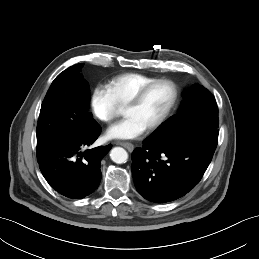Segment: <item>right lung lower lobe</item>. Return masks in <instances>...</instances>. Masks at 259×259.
<instances>
[{
	"mask_svg": "<svg viewBox=\"0 0 259 259\" xmlns=\"http://www.w3.org/2000/svg\"><path fill=\"white\" fill-rule=\"evenodd\" d=\"M95 121L73 134L55 135L37 146L39 168L50 186L71 199H81L94 192L101 181V159L112 145L87 149L99 136Z\"/></svg>",
	"mask_w": 259,
	"mask_h": 259,
	"instance_id": "right-lung-lower-lobe-1",
	"label": "right lung lower lobe"
}]
</instances>
